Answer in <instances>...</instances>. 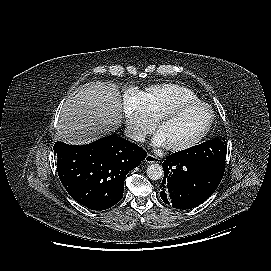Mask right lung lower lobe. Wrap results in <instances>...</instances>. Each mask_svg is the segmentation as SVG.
I'll list each match as a JSON object with an SVG mask.
<instances>
[{"label": "right lung lower lobe", "mask_w": 271, "mask_h": 271, "mask_svg": "<svg viewBox=\"0 0 271 271\" xmlns=\"http://www.w3.org/2000/svg\"><path fill=\"white\" fill-rule=\"evenodd\" d=\"M57 170L69 195L92 210H105L123 197L127 173L147 153L126 139L110 135L88 145H54Z\"/></svg>", "instance_id": "right-lung-lower-lobe-1"}]
</instances>
